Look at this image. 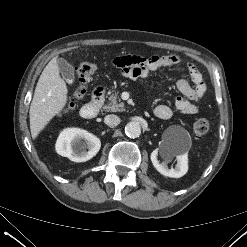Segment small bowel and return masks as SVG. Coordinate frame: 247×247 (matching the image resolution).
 <instances>
[{"instance_id":"1","label":"small bowel","mask_w":247,"mask_h":247,"mask_svg":"<svg viewBox=\"0 0 247 247\" xmlns=\"http://www.w3.org/2000/svg\"><path fill=\"white\" fill-rule=\"evenodd\" d=\"M180 62V57L176 55H153L148 58L123 55L113 61L121 73L130 79L148 78L151 72L165 67L177 66ZM187 69L194 86H191L186 79L177 81L176 86L181 96L175 99V107L183 114L192 115L198 111L195 103L204 96L206 84L202 74L193 63H189ZM154 114L158 118L166 120L172 117L173 111L169 106L161 104L155 107Z\"/></svg>"}]
</instances>
